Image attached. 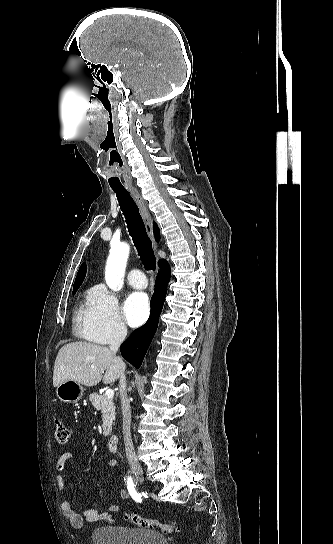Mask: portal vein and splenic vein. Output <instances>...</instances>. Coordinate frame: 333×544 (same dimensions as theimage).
I'll use <instances>...</instances> for the list:
<instances>
[{
    "label": "portal vein and splenic vein",
    "instance_id": "1",
    "mask_svg": "<svg viewBox=\"0 0 333 544\" xmlns=\"http://www.w3.org/2000/svg\"><path fill=\"white\" fill-rule=\"evenodd\" d=\"M105 395H106L108 398H113V396H114V391L111 390V389H108V390H106Z\"/></svg>",
    "mask_w": 333,
    "mask_h": 544
}]
</instances>
